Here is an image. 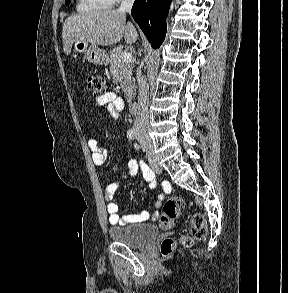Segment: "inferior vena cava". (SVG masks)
Segmentation results:
<instances>
[{
  "label": "inferior vena cava",
  "instance_id": "obj_1",
  "mask_svg": "<svg viewBox=\"0 0 288 293\" xmlns=\"http://www.w3.org/2000/svg\"><path fill=\"white\" fill-rule=\"evenodd\" d=\"M134 0H122L118 12H130ZM138 82V111L135 119V132L138 137L149 139V85L146 79L139 72L137 74Z\"/></svg>",
  "mask_w": 288,
  "mask_h": 293
}]
</instances>
